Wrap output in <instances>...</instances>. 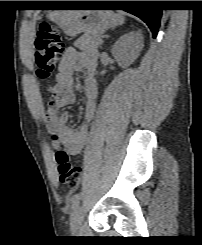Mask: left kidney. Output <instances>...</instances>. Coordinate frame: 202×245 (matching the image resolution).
<instances>
[{"mask_svg": "<svg viewBox=\"0 0 202 245\" xmlns=\"http://www.w3.org/2000/svg\"><path fill=\"white\" fill-rule=\"evenodd\" d=\"M143 35L132 31L121 36L112 47V55L125 68L134 62L143 48Z\"/></svg>", "mask_w": 202, "mask_h": 245, "instance_id": "obj_1", "label": "left kidney"}]
</instances>
